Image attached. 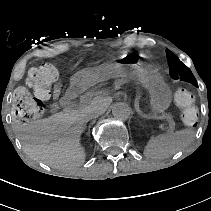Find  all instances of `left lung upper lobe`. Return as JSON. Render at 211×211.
<instances>
[{
    "label": "left lung upper lobe",
    "mask_w": 211,
    "mask_h": 211,
    "mask_svg": "<svg viewBox=\"0 0 211 211\" xmlns=\"http://www.w3.org/2000/svg\"><path fill=\"white\" fill-rule=\"evenodd\" d=\"M168 65L170 67L169 74L173 79H180L182 81L189 82L194 86H198L195 77L193 76L191 70L182 63L176 55H174L170 50H166Z\"/></svg>",
    "instance_id": "5c2ea615"
}]
</instances>
